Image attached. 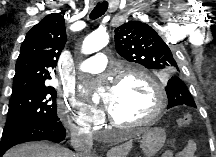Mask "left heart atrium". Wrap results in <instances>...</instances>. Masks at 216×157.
<instances>
[{"label":"left heart atrium","mask_w":216,"mask_h":157,"mask_svg":"<svg viewBox=\"0 0 216 157\" xmlns=\"http://www.w3.org/2000/svg\"><path fill=\"white\" fill-rule=\"evenodd\" d=\"M111 96H112V88L108 87L104 94V104L108 110H110L111 108Z\"/></svg>","instance_id":"39dd6f15"}]
</instances>
